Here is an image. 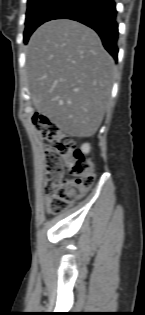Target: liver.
<instances>
[{
  "label": "liver",
  "mask_w": 145,
  "mask_h": 315,
  "mask_svg": "<svg viewBox=\"0 0 145 315\" xmlns=\"http://www.w3.org/2000/svg\"><path fill=\"white\" fill-rule=\"evenodd\" d=\"M33 105L62 132L90 137L109 105L115 64L95 31L68 19L41 25L27 52Z\"/></svg>",
  "instance_id": "obj_1"
}]
</instances>
